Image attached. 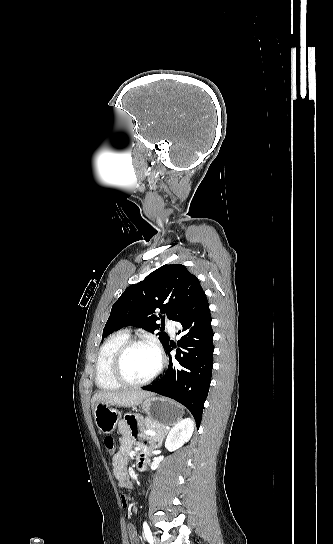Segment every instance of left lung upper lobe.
<instances>
[{
	"label": "left lung upper lobe",
	"mask_w": 333,
	"mask_h": 544,
	"mask_svg": "<svg viewBox=\"0 0 333 544\" xmlns=\"http://www.w3.org/2000/svg\"><path fill=\"white\" fill-rule=\"evenodd\" d=\"M203 293L197 277L184 265H164L124 291L112 306L102 337L129 325L151 333L160 329L156 335L165 347L170 339L157 321L163 323L165 317L177 320Z\"/></svg>",
	"instance_id": "left-lung-upper-lobe-1"
}]
</instances>
